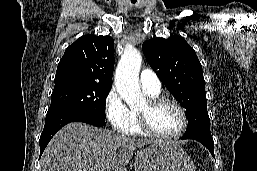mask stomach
Masks as SVG:
<instances>
[{
	"label": "stomach",
	"mask_w": 257,
	"mask_h": 171,
	"mask_svg": "<svg viewBox=\"0 0 257 171\" xmlns=\"http://www.w3.org/2000/svg\"><path fill=\"white\" fill-rule=\"evenodd\" d=\"M195 165L176 142L157 141L135 156V171H196Z\"/></svg>",
	"instance_id": "stomach-1"
}]
</instances>
